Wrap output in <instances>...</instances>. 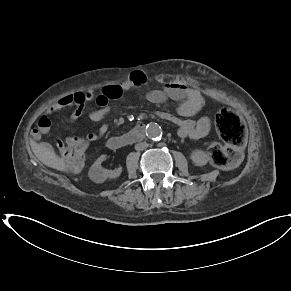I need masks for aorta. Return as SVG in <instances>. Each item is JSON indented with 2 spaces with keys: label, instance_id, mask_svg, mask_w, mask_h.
Returning a JSON list of instances; mask_svg holds the SVG:
<instances>
[{
  "label": "aorta",
  "instance_id": "obj_1",
  "mask_svg": "<svg viewBox=\"0 0 291 291\" xmlns=\"http://www.w3.org/2000/svg\"><path fill=\"white\" fill-rule=\"evenodd\" d=\"M146 134L150 139L159 140L162 136V128L156 123H151L146 128Z\"/></svg>",
  "mask_w": 291,
  "mask_h": 291
}]
</instances>
